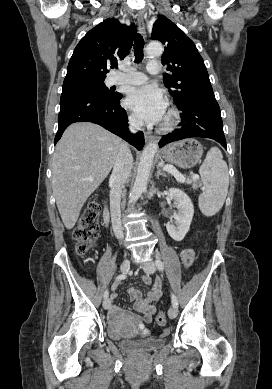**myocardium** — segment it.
Wrapping results in <instances>:
<instances>
[{"label": "myocardium", "mask_w": 272, "mask_h": 389, "mask_svg": "<svg viewBox=\"0 0 272 389\" xmlns=\"http://www.w3.org/2000/svg\"><path fill=\"white\" fill-rule=\"evenodd\" d=\"M178 119V113L173 109L169 110L162 123L161 129L164 131L171 130L178 123Z\"/></svg>", "instance_id": "myocardium-1"}]
</instances>
